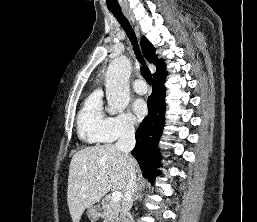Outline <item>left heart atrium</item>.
<instances>
[{
	"label": "left heart atrium",
	"instance_id": "1",
	"mask_svg": "<svg viewBox=\"0 0 257 222\" xmlns=\"http://www.w3.org/2000/svg\"><path fill=\"white\" fill-rule=\"evenodd\" d=\"M132 108H133L135 117L138 121L142 120L147 115V105L141 99L134 101Z\"/></svg>",
	"mask_w": 257,
	"mask_h": 222
}]
</instances>
